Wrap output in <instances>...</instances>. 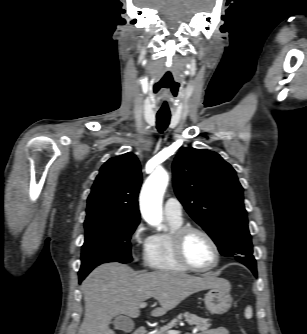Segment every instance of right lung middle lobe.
I'll return each instance as SVG.
<instances>
[{"mask_svg": "<svg viewBox=\"0 0 307 334\" xmlns=\"http://www.w3.org/2000/svg\"><path fill=\"white\" fill-rule=\"evenodd\" d=\"M84 224L80 277H86L96 266L105 262L132 261L130 239L139 222L91 219L85 220Z\"/></svg>", "mask_w": 307, "mask_h": 334, "instance_id": "right-lung-middle-lobe-1", "label": "right lung middle lobe"}]
</instances>
